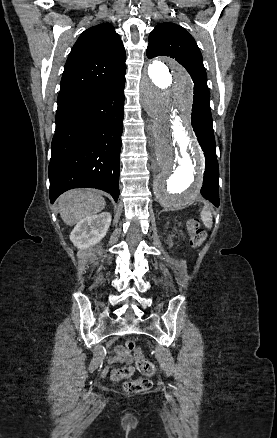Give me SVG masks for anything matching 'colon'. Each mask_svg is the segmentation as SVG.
Segmentation results:
<instances>
[{
	"mask_svg": "<svg viewBox=\"0 0 277 438\" xmlns=\"http://www.w3.org/2000/svg\"><path fill=\"white\" fill-rule=\"evenodd\" d=\"M188 228L191 243L194 246L200 245L205 239V232L200 224L192 220L188 223ZM125 346L130 352H132L133 357L136 360V365L142 374L152 376L156 373L154 363L146 359L143 352L135 348L132 341H126ZM156 386V380H146L144 378H132L122 382L124 390L131 394H136L145 391L146 389H156Z\"/></svg>",
	"mask_w": 277,
	"mask_h": 438,
	"instance_id": "1",
	"label": "colon"
}]
</instances>
